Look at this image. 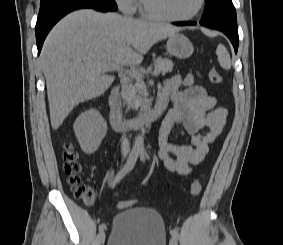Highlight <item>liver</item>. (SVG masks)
I'll return each instance as SVG.
<instances>
[{
	"label": "liver",
	"mask_w": 283,
	"mask_h": 245,
	"mask_svg": "<svg viewBox=\"0 0 283 245\" xmlns=\"http://www.w3.org/2000/svg\"><path fill=\"white\" fill-rule=\"evenodd\" d=\"M178 28L99 13L74 11L48 34L40 65L46 79L53 129H58L79 103L102 95L113 83L108 65H138L158 41Z\"/></svg>",
	"instance_id": "6515ba94"
}]
</instances>
